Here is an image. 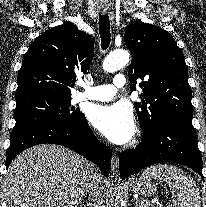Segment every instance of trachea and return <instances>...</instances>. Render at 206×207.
I'll return each instance as SVG.
<instances>
[{"mask_svg": "<svg viewBox=\"0 0 206 207\" xmlns=\"http://www.w3.org/2000/svg\"><path fill=\"white\" fill-rule=\"evenodd\" d=\"M99 33L101 37V46L103 49L108 48L111 40L110 20L108 14H99Z\"/></svg>", "mask_w": 206, "mask_h": 207, "instance_id": "obj_1", "label": "trachea"}]
</instances>
